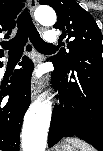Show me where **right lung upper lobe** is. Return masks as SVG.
<instances>
[{"mask_svg":"<svg viewBox=\"0 0 103 151\" xmlns=\"http://www.w3.org/2000/svg\"><path fill=\"white\" fill-rule=\"evenodd\" d=\"M22 2L24 0H0V37L9 38L16 25V16L24 6ZM2 53L0 49V54Z\"/></svg>","mask_w":103,"mask_h":151,"instance_id":"1","label":"right lung upper lobe"}]
</instances>
